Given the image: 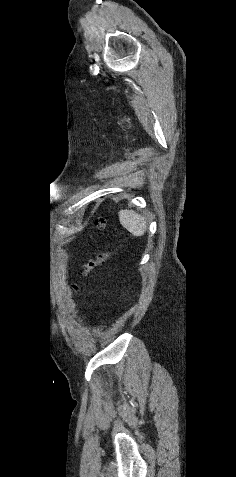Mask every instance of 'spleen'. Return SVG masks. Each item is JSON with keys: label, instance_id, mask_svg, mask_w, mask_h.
I'll list each match as a JSON object with an SVG mask.
<instances>
[{"label": "spleen", "instance_id": "obj_1", "mask_svg": "<svg viewBox=\"0 0 236 477\" xmlns=\"http://www.w3.org/2000/svg\"><path fill=\"white\" fill-rule=\"evenodd\" d=\"M119 220L121 225L134 236L144 235L147 223L144 217L132 210H120Z\"/></svg>", "mask_w": 236, "mask_h": 477}]
</instances>
